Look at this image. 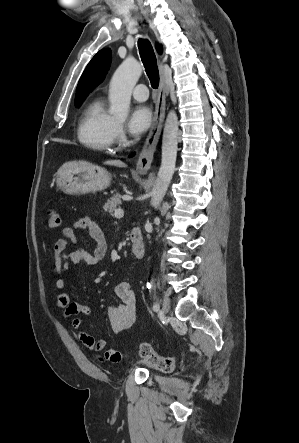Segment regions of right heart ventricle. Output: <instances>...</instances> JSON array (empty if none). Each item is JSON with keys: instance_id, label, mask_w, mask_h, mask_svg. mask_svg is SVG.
I'll return each mask as SVG.
<instances>
[{"instance_id": "obj_1", "label": "right heart ventricle", "mask_w": 299, "mask_h": 443, "mask_svg": "<svg viewBox=\"0 0 299 443\" xmlns=\"http://www.w3.org/2000/svg\"><path fill=\"white\" fill-rule=\"evenodd\" d=\"M116 122L101 99H95L84 109L77 128L79 142L92 151L109 152L115 140Z\"/></svg>"}]
</instances>
